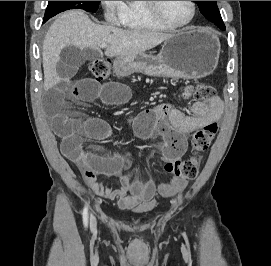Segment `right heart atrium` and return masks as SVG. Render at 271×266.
Returning a JSON list of instances; mask_svg holds the SVG:
<instances>
[{
  "instance_id": "d8ad5b80",
  "label": "right heart atrium",
  "mask_w": 271,
  "mask_h": 266,
  "mask_svg": "<svg viewBox=\"0 0 271 266\" xmlns=\"http://www.w3.org/2000/svg\"><path fill=\"white\" fill-rule=\"evenodd\" d=\"M105 17L111 23H118L124 8V1H101Z\"/></svg>"
}]
</instances>
